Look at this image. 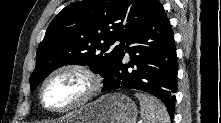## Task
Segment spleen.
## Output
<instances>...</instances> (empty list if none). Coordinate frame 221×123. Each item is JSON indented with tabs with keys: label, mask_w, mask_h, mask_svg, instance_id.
<instances>
[{
	"label": "spleen",
	"mask_w": 221,
	"mask_h": 123,
	"mask_svg": "<svg viewBox=\"0 0 221 123\" xmlns=\"http://www.w3.org/2000/svg\"><path fill=\"white\" fill-rule=\"evenodd\" d=\"M140 102L141 117L144 123H170L166 107L156 98L135 93Z\"/></svg>",
	"instance_id": "3e777b00"
}]
</instances>
